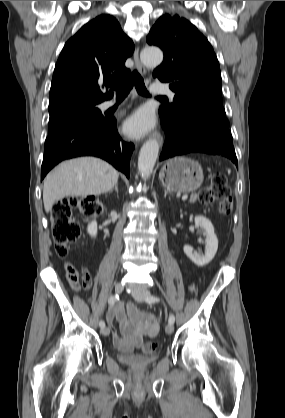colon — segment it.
<instances>
[{"mask_svg":"<svg viewBox=\"0 0 285 418\" xmlns=\"http://www.w3.org/2000/svg\"><path fill=\"white\" fill-rule=\"evenodd\" d=\"M232 195L227 186L226 178L222 174H216L211 184L201 189L197 194L198 201L203 205H210L218 201V211L226 216L232 210ZM85 216L99 215L100 205L82 197H65L55 203L51 214L52 235L56 254L60 257L67 256L71 245L76 242L80 235V226L74 220L77 213ZM154 342H145L142 350L145 353L154 352Z\"/></svg>","mask_w":285,"mask_h":418,"instance_id":"5ec220e1","label":"colon"}]
</instances>
